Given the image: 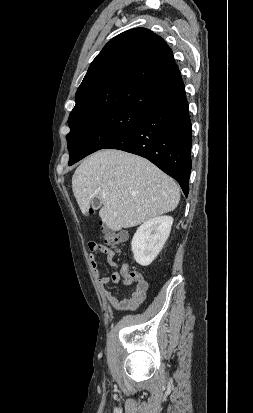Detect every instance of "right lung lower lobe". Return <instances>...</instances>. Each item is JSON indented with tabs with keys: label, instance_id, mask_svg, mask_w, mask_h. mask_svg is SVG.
I'll return each mask as SVG.
<instances>
[{
	"label": "right lung lower lobe",
	"instance_id": "right-lung-lower-lobe-1",
	"mask_svg": "<svg viewBox=\"0 0 253 413\" xmlns=\"http://www.w3.org/2000/svg\"><path fill=\"white\" fill-rule=\"evenodd\" d=\"M192 128L185 93L148 111L129 133L104 149L142 156L178 181L189 192Z\"/></svg>",
	"mask_w": 253,
	"mask_h": 413
}]
</instances>
